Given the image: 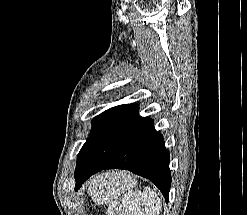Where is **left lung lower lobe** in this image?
Returning a JSON list of instances; mask_svg holds the SVG:
<instances>
[{"mask_svg":"<svg viewBox=\"0 0 247 215\" xmlns=\"http://www.w3.org/2000/svg\"><path fill=\"white\" fill-rule=\"evenodd\" d=\"M169 151L150 118L138 115L132 105L98 138L86 141L78 154L75 190L104 169H125L151 180L168 201L171 186Z\"/></svg>","mask_w":247,"mask_h":215,"instance_id":"0a47b994","label":"left lung lower lobe"}]
</instances>
